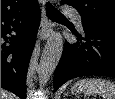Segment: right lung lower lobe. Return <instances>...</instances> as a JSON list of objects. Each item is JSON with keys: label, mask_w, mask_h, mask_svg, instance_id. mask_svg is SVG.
Instances as JSON below:
<instances>
[{"label": "right lung lower lobe", "mask_w": 115, "mask_h": 99, "mask_svg": "<svg viewBox=\"0 0 115 99\" xmlns=\"http://www.w3.org/2000/svg\"><path fill=\"white\" fill-rule=\"evenodd\" d=\"M37 1L1 17V88L26 99V74L40 24ZM15 32L16 35L8 34Z\"/></svg>", "instance_id": "1"}]
</instances>
